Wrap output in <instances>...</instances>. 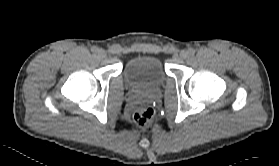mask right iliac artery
Listing matches in <instances>:
<instances>
[{
  "instance_id": "82829eb1",
  "label": "right iliac artery",
  "mask_w": 279,
  "mask_h": 166,
  "mask_svg": "<svg viewBox=\"0 0 279 166\" xmlns=\"http://www.w3.org/2000/svg\"><path fill=\"white\" fill-rule=\"evenodd\" d=\"M91 51L95 53V52H97V51H98V48H97V47H95V46H93V47L91 48Z\"/></svg>"
}]
</instances>
